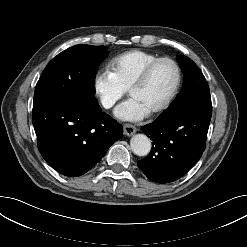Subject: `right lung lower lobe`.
<instances>
[{"mask_svg":"<svg viewBox=\"0 0 247 247\" xmlns=\"http://www.w3.org/2000/svg\"><path fill=\"white\" fill-rule=\"evenodd\" d=\"M32 122L45 161L74 177L94 167L123 132L99 105L87 108L62 96L33 106Z\"/></svg>","mask_w":247,"mask_h":247,"instance_id":"1","label":"right lung lower lobe"}]
</instances>
